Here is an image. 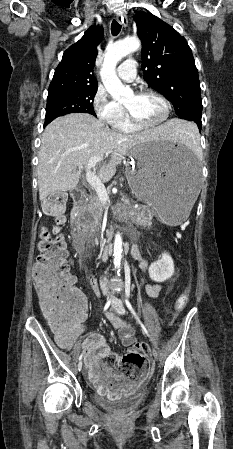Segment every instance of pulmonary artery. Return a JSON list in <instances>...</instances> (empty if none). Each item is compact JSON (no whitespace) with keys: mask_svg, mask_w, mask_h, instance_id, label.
<instances>
[{"mask_svg":"<svg viewBox=\"0 0 233 449\" xmlns=\"http://www.w3.org/2000/svg\"><path fill=\"white\" fill-rule=\"evenodd\" d=\"M137 63L133 59L124 60L118 67V77L125 82H132L136 77Z\"/></svg>","mask_w":233,"mask_h":449,"instance_id":"1","label":"pulmonary artery"}]
</instances>
